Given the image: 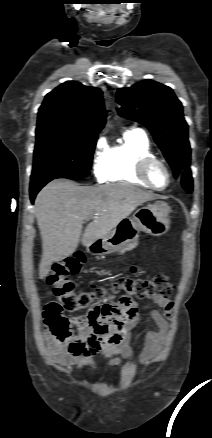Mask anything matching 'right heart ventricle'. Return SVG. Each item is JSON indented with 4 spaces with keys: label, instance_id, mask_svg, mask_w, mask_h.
<instances>
[{
    "label": "right heart ventricle",
    "instance_id": "obj_1",
    "mask_svg": "<svg viewBox=\"0 0 212 438\" xmlns=\"http://www.w3.org/2000/svg\"><path fill=\"white\" fill-rule=\"evenodd\" d=\"M145 156H154L145 132L140 129L127 131L123 142L107 150V168L103 181L126 182L149 188L135 174L138 161Z\"/></svg>",
    "mask_w": 212,
    "mask_h": 438
}]
</instances>
